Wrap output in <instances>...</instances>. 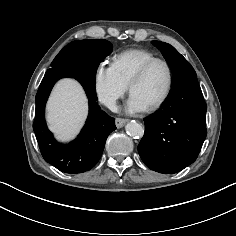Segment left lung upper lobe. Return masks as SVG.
<instances>
[{"mask_svg":"<svg viewBox=\"0 0 236 236\" xmlns=\"http://www.w3.org/2000/svg\"><path fill=\"white\" fill-rule=\"evenodd\" d=\"M161 50L172 71V86L182 79L190 76H196V73L190 63L170 44L153 41Z\"/></svg>","mask_w":236,"mask_h":236,"instance_id":"left-lung-upper-lobe-1","label":"left lung upper lobe"}]
</instances>
